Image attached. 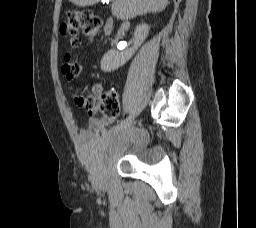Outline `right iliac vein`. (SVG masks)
<instances>
[{"label":"right iliac vein","mask_w":256,"mask_h":228,"mask_svg":"<svg viewBox=\"0 0 256 228\" xmlns=\"http://www.w3.org/2000/svg\"><path fill=\"white\" fill-rule=\"evenodd\" d=\"M132 124H133V122H130L129 124H127L126 127H125V126H122V127H121V130H122V131L131 130V129H132Z\"/></svg>","instance_id":"63e3f726"}]
</instances>
